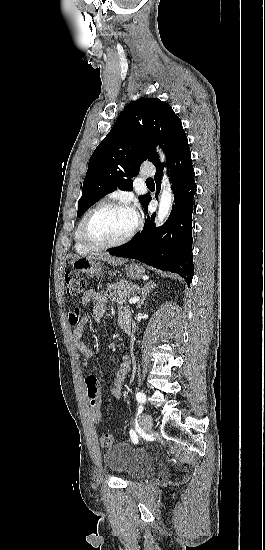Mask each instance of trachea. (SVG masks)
I'll return each mask as SVG.
<instances>
[{"mask_svg": "<svg viewBox=\"0 0 265 550\" xmlns=\"http://www.w3.org/2000/svg\"><path fill=\"white\" fill-rule=\"evenodd\" d=\"M153 182H154V181H153L152 178H148V179L146 180V183H147V184H148V183H153Z\"/></svg>", "mask_w": 265, "mask_h": 550, "instance_id": "3493384b", "label": "trachea"}]
</instances>
